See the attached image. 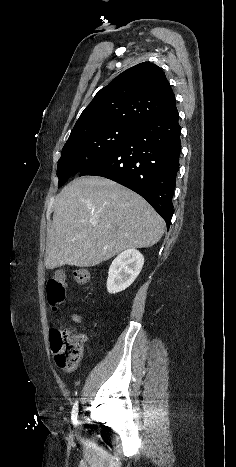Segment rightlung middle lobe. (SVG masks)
<instances>
[{"mask_svg":"<svg viewBox=\"0 0 236 467\" xmlns=\"http://www.w3.org/2000/svg\"><path fill=\"white\" fill-rule=\"evenodd\" d=\"M136 130L122 125H110L70 134L58 160V187L64 185L72 175L80 173L114 151Z\"/></svg>","mask_w":236,"mask_h":467,"instance_id":"dd1d6c3e","label":"right lung middle lobe"}]
</instances>
